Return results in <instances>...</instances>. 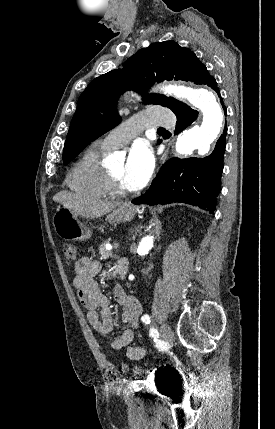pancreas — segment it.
I'll return each mask as SVG.
<instances>
[{
	"label": "pancreas",
	"instance_id": "1",
	"mask_svg": "<svg viewBox=\"0 0 275 429\" xmlns=\"http://www.w3.org/2000/svg\"><path fill=\"white\" fill-rule=\"evenodd\" d=\"M99 254L103 257V258H109L113 256V252L111 250H108L106 248V243H102L99 247Z\"/></svg>",
	"mask_w": 275,
	"mask_h": 429
}]
</instances>
